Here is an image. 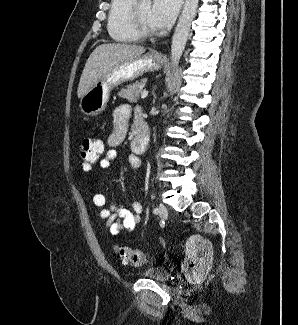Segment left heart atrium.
<instances>
[{"label": "left heart atrium", "mask_w": 298, "mask_h": 325, "mask_svg": "<svg viewBox=\"0 0 298 325\" xmlns=\"http://www.w3.org/2000/svg\"><path fill=\"white\" fill-rule=\"evenodd\" d=\"M179 12L178 0H154L152 3V16L156 25L167 29L173 25Z\"/></svg>", "instance_id": "39dd6f15"}]
</instances>
